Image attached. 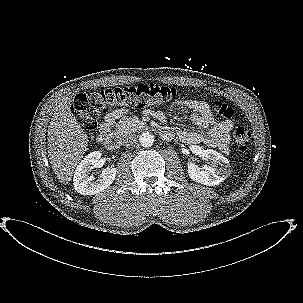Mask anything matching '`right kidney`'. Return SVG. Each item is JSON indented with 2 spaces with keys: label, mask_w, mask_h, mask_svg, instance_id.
Wrapping results in <instances>:
<instances>
[{
  "label": "right kidney",
  "mask_w": 303,
  "mask_h": 303,
  "mask_svg": "<svg viewBox=\"0 0 303 303\" xmlns=\"http://www.w3.org/2000/svg\"><path fill=\"white\" fill-rule=\"evenodd\" d=\"M101 155L100 151L91 152L77 166L73 185L78 193L94 195L107 189L115 180L117 170L113 167L105 169L96 180L93 176H89L92 169L100 166L99 159Z\"/></svg>",
  "instance_id": "ca27d5eb"
}]
</instances>
